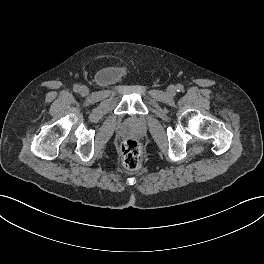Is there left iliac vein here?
<instances>
[{"label":"left iliac vein","instance_id":"1","mask_svg":"<svg viewBox=\"0 0 264 264\" xmlns=\"http://www.w3.org/2000/svg\"><path fill=\"white\" fill-rule=\"evenodd\" d=\"M167 93L170 95V96H174L176 94V87L174 85H170L168 88H167Z\"/></svg>","mask_w":264,"mask_h":264}]
</instances>
